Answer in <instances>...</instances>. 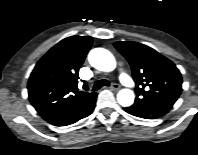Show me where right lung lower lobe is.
<instances>
[{
	"instance_id": "right-lung-lower-lobe-1",
	"label": "right lung lower lobe",
	"mask_w": 198,
	"mask_h": 155,
	"mask_svg": "<svg viewBox=\"0 0 198 155\" xmlns=\"http://www.w3.org/2000/svg\"><path fill=\"white\" fill-rule=\"evenodd\" d=\"M97 93H90L72 106L43 116V119L55 126H67L90 115L95 107Z\"/></svg>"
}]
</instances>
